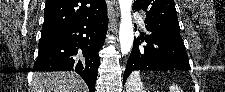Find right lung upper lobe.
<instances>
[{"label":"right lung upper lobe","instance_id":"obj_1","mask_svg":"<svg viewBox=\"0 0 225 92\" xmlns=\"http://www.w3.org/2000/svg\"><path fill=\"white\" fill-rule=\"evenodd\" d=\"M106 8L104 0H46L42 30L60 31L77 21L94 18Z\"/></svg>","mask_w":225,"mask_h":92}]
</instances>
